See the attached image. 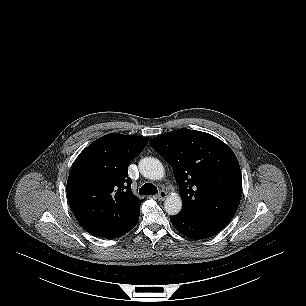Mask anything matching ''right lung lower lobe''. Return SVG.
Instances as JSON below:
<instances>
[{"instance_id": "1", "label": "right lung lower lobe", "mask_w": 306, "mask_h": 306, "mask_svg": "<svg viewBox=\"0 0 306 306\" xmlns=\"http://www.w3.org/2000/svg\"><path fill=\"white\" fill-rule=\"evenodd\" d=\"M138 218H139V214L137 215V217L135 218V220L133 221V223L130 225V227L127 229V231L125 233H127L128 231H130L138 222ZM124 233V234H125ZM123 234V235H124Z\"/></svg>"}]
</instances>
